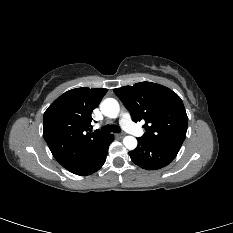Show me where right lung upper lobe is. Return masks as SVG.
Here are the masks:
<instances>
[{
  "label": "right lung upper lobe",
  "instance_id": "obj_1",
  "mask_svg": "<svg viewBox=\"0 0 233 233\" xmlns=\"http://www.w3.org/2000/svg\"><path fill=\"white\" fill-rule=\"evenodd\" d=\"M108 90L76 88L57 98L45 111L43 136L55 159L72 170L104 140L108 134L88 133L91 113Z\"/></svg>",
  "mask_w": 233,
  "mask_h": 233
}]
</instances>
